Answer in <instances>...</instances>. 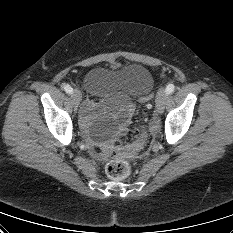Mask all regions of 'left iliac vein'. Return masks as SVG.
<instances>
[{
    "mask_svg": "<svg viewBox=\"0 0 233 233\" xmlns=\"http://www.w3.org/2000/svg\"><path fill=\"white\" fill-rule=\"evenodd\" d=\"M167 99V94L164 88L158 90L156 95V109L159 114L163 113L165 107V101Z\"/></svg>",
    "mask_w": 233,
    "mask_h": 233,
    "instance_id": "obj_1",
    "label": "left iliac vein"
}]
</instances>
